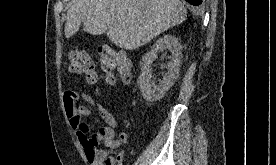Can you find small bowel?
I'll use <instances>...</instances> for the list:
<instances>
[{"instance_id": "obj_1", "label": "small bowel", "mask_w": 276, "mask_h": 165, "mask_svg": "<svg viewBox=\"0 0 276 165\" xmlns=\"http://www.w3.org/2000/svg\"><path fill=\"white\" fill-rule=\"evenodd\" d=\"M82 98L90 107L94 108L105 122L106 126L101 127L97 135L87 136L83 128V120L90 115L87 106H77V101ZM63 106L69 118L70 125L75 135L85 150L86 157L90 165H122V158L128 144V136L122 132L116 137L115 129L117 120L115 116L107 110L101 103L94 100L89 94L75 90H67L63 95ZM99 142H103L106 149L97 147ZM119 145L123 148L116 155L111 151Z\"/></svg>"}]
</instances>
